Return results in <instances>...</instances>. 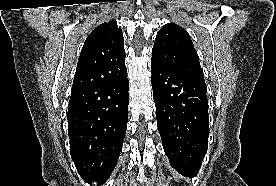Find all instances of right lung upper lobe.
Segmentation results:
<instances>
[{
    "label": "right lung upper lobe",
    "instance_id": "right-lung-upper-lobe-1",
    "mask_svg": "<svg viewBox=\"0 0 276 186\" xmlns=\"http://www.w3.org/2000/svg\"><path fill=\"white\" fill-rule=\"evenodd\" d=\"M122 30L116 21L96 27L87 37L77 63L72 90L112 83L127 74Z\"/></svg>",
    "mask_w": 276,
    "mask_h": 186
}]
</instances>
